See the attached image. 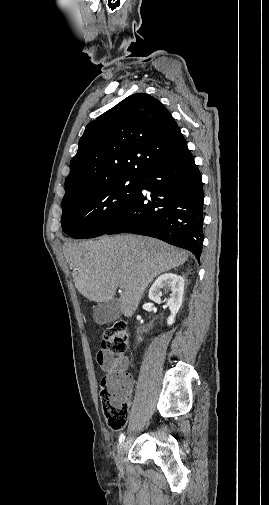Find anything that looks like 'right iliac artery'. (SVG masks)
<instances>
[{
    "label": "right iliac artery",
    "instance_id": "right-iliac-artery-1",
    "mask_svg": "<svg viewBox=\"0 0 269 505\" xmlns=\"http://www.w3.org/2000/svg\"><path fill=\"white\" fill-rule=\"evenodd\" d=\"M125 439V435L121 434L119 437V444L122 443V441Z\"/></svg>",
    "mask_w": 269,
    "mask_h": 505
}]
</instances>
